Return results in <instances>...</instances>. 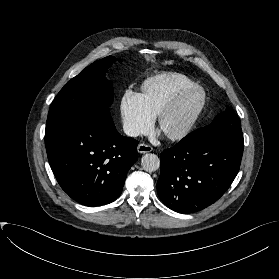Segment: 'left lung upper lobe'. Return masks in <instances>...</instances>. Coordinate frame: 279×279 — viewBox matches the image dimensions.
Segmentation results:
<instances>
[{"mask_svg": "<svg viewBox=\"0 0 279 279\" xmlns=\"http://www.w3.org/2000/svg\"><path fill=\"white\" fill-rule=\"evenodd\" d=\"M187 136L190 138L223 137L243 144L241 121L232 108H227L225 112L219 114L210 125L197 129Z\"/></svg>", "mask_w": 279, "mask_h": 279, "instance_id": "left-lung-upper-lobe-1", "label": "left lung upper lobe"}]
</instances>
